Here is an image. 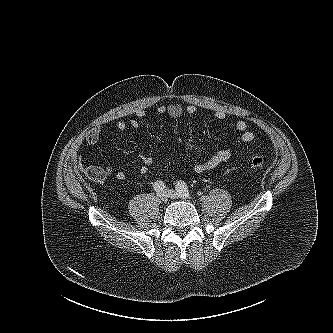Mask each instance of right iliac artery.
Wrapping results in <instances>:
<instances>
[{
	"mask_svg": "<svg viewBox=\"0 0 333 333\" xmlns=\"http://www.w3.org/2000/svg\"><path fill=\"white\" fill-rule=\"evenodd\" d=\"M153 187H154V190L156 192H160V191H163L165 189V183L163 181H156L154 184H153Z\"/></svg>",
	"mask_w": 333,
	"mask_h": 333,
	"instance_id": "82829eb1",
	"label": "right iliac artery"
}]
</instances>
